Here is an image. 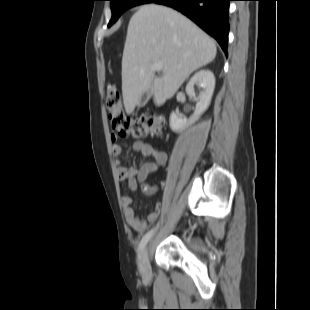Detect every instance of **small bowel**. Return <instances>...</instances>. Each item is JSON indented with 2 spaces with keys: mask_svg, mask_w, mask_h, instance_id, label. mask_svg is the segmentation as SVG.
<instances>
[{
  "mask_svg": "<svg viewBox=\"0 0 310 310\" xmlns=\"http://www.w3.org/2000/svg\"><path fill=\"white\" fill-rule=\"evenodd\" d=\"M118 138L119 137L116 134H111L110 136V140L112 142V153L116 158V167L119 180L125 184L131 192H136L138 188H140L145 195H153L156 192V188L147 184L146 179L149 174L156 172L160 167L165 165L167 161V154L147 142L137 140L133 143V151L145 157H150L153 160L144 163L140 166V168L125 166L120 160L122 149L118 144ZM121 204L126 223L130 228L138 233H144L147 229L148 222H155L158 218L157 211L150 212L146 219L137 217L131 207L132 198L128 195L122 196Z\"/></svg>",
  "mask_w": 310,
  "mask_h": 310,
  "instance_id": "small-bowel-1",
  "label": "small bowel"
}]
</instances>
